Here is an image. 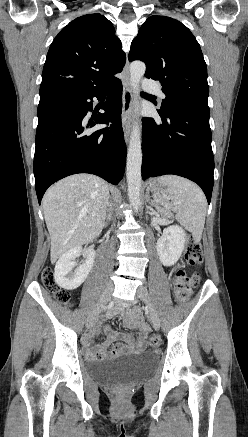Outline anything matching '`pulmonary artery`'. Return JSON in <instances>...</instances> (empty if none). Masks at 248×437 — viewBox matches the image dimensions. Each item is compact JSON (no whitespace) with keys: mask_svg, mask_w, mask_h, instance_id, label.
Listing matches in <instances>:
<instances>
[{"mask_svg":"<svg viewBox=\"0 0 248 437\" xmlns=\"http://www.w3.org/2000/svg\"><path fill=\"white\" fill-rule=\"evenodd\" d=\"M142 84L145 91L157 94L159 97L164 98V94L152 80L145 78L142 81Z\"/></svg>","mask_w":248,"mask_h":437,"instance_id":"e3ab8cb5","label":"pulmonary artery"}]
</instances>
